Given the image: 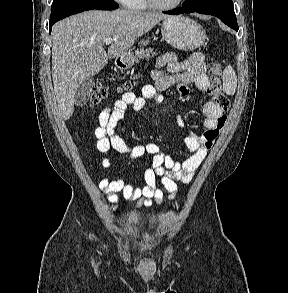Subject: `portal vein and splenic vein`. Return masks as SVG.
Wrapping results in <instances>:
<instances>
[{"label":"portal vein and splenic vein","mask_w":288,"mask_h":293,"mask_svg":"<svg viewBox=\"0 0 288 293\" xmlns=\"http://www.w3.org/2000/svg\"><path fill=\"white\" fill-rule=\"evenodd\" d=\"M114 40H116V38H107V39L105 40V44H106V45H110Z\"/></svg>","instance_id":"obj_1"}]
</instances>
